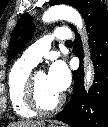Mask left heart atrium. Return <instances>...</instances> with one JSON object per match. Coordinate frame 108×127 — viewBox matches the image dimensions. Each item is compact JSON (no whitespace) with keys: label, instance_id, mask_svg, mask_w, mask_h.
Listing matches in <instances>:
<instances>
[{"label":"left heart atrium","instance_id":"39dd6f15","mask_svg":"<svg viewBox=\"0 0 108 127\" xmlns=\"http://www.w3.org/2000/svg\"><path fill=\"white\" fill-rule=\"evenodd\" d=\"M70 79V72L63 61H56L51 65L47 74V80L56 93H63L68 88Z\"/></svg>","mask_w":108,"mask_h":127}]
</instances>
